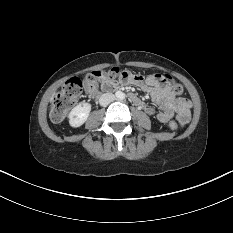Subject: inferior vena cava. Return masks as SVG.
<instances>
[{
	"instance_id": "1",
	"label": "inferior vena cava",
	"mask_w": 233,
	"mask_h": 233,
	"mask_svg": "<svg viewBox=\"0 0 233 233\" xmlns=\"http://www.w3.org/2000/svg\"><path fill=\"white\" fill-rule=\"evenodd\" d=\"M115 100V95L112 93H104L99 98V103L101 106H107Z\"/></svg>"
}]
</instances>
